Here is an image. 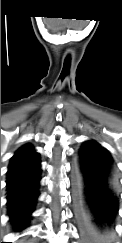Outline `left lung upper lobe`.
Here are the masks:
<instances>
[{
	"label": "left lung upper lobe",
	"instance_id": "left-lung-upper-lobe-1",
	"mask_svg": "<svg viewBox=\"0 0 122 243\" xmlns=\"http://www.w3.org/2000/svg\"><path fill=\"white\" fill-rule=\"evenodd\" d=\"M95 149H101V146L94 141H87L85 142L79 150L78 159L84 158L86 155L89 154L90 151Z\"/></svg>",
	"mask_w": 122,
	"mask_h": 243
}]
</instances>
